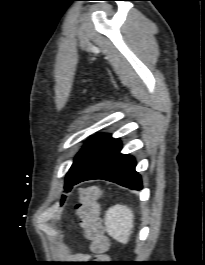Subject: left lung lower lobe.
Returning a JSON list of instances; mask_svg holds the SVG:
<instances>
[{"mask_svg":"<svg viewBox=\"0 0 205 265\" xmlns=\"http://www.w3.org/2000/svg\"><path fill=\"white\" fill-rule=\"evenodd\" d=\"M121 142L113 140L73 181L72 186L86 180L103 179L134 190L142 189L132 156L121 154Z\"/></svg>","mask_w":205,"mask_h":265,"instance_id":"0a47b994","label":"left lung lower lobe"}]
</instances>
